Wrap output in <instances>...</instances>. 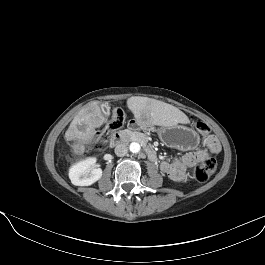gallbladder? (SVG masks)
Here are the masks:
<instances>
[{
	"label": "gallbladder",
	"instance_id": "gallbladder-1",
	"mask_svg": "<svg viewBox=\"0 0 265 265\" xmlns=\"http://www.w3.org/2000/svg\"><path fill=\"white\" fill-rule=\"evenodd\" d=\"M101 106H102V109H103L105 114H109L110 113V106H109L108 103H103ZM80 129H81V127H80Z\"/></svg>",
	"mask_w": 265,
	"mask_h": 265
}]
</instances>
